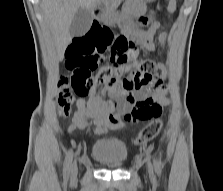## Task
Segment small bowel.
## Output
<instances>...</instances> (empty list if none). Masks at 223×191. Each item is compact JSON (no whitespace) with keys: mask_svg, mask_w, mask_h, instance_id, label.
<instances>
[{"mask_svg":"<svg viewBox=\"0 0 223 191\" xmlns=\"http://www.w3.org/2000/svg\"><path fill=\"white\" fill-rule=\"evenodd\" d=\"M158 26L154 22L146 30L133 33L134 38L149 52L155 49L153 37ZM93 27L102 26L96 24ZM130 81L131 79H127L107 85L99 84L87 97L79 98L78 110L69 126V132L91 127L96 135H102L123 128L124 121L147 120L153 116L154 107L161 108L168 104L161 78L134 89L124 86ZM106 95L110 99H105Z\"/></svg>","mask_w":223,"mask_h":191,"instance_id":"small-bowel-1","label":"small bowel"}]
</instances>
